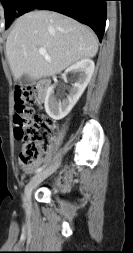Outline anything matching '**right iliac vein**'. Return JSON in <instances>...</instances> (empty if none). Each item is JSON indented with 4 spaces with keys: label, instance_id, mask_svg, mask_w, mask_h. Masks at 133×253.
<instances>
[{
    "label": "right iliac vein",
    "instance_id": "right-iliac-vein-1",
    "mask_svg": "<svg viewBox=\"0 0 133 253\" xmlns=\"http://www.w3.org/2000/svg\"><path fill=\"white\" fill-rule=\"evenodd\" d=\"M60 162H56L55 164L51 165L49 168L45 169L43 172H40L36 176H34L30 182L25 187V205L27 207L30 206L31 203V194L33 189H35L43 180H45L47 177H49L52 173L56 171V169L59 167Z\"/></svg>",
    "mask_w": 133,
    "mask_h": 253
}]
</instances>
